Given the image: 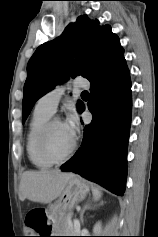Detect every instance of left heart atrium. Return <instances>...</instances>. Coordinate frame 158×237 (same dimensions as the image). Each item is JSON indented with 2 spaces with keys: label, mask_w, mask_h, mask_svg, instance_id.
<instances>
[{
  "label": "left heart atrium",
  "mask_w": 158,
  "mask_h": 237,
  "mask_svg": "<svg viewBox=\"0 0 158 237\" xmlns=\"http://www.w3.org/2000/svg\"><path fill=\"white\" fill-rule=\"evenodd\" d=\"M67 133L74 139L78 130V120L75 114H70L63 123Z\"/></svg>",
  "instance_id": "39dd6f15"
}]
</instances>
